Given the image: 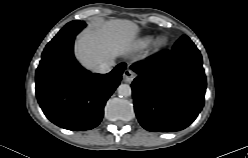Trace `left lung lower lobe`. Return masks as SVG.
<instances>
[{"label": "left lung lower lobe", "instance_id": "1", "mask_svg": "<svg viewBox=\"0 0 248 158\" xmlns=\"http://www.w3.org/2000/svg\"><path fill=\"white\" fill-rule=\"evenodd\" d=\"M136 116L146 130L179 131L189 126L204 105L206 77L195 44L182 36L171 51L131 66Z\"/></svg>", "mask_w": 248, "mask_h": 158}]
</instances>
